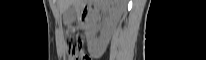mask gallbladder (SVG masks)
I'll return each mask as SVG.
<instances>
[{
	"label": "gallbladder",
	"mask_w": 206,
	"mask_h": 60,
	"mask_svg": "<svg viewBox=\"0 0 206 60\" xmlns=\"http://www.w3.org/2000/svg\"><path fill=\"white\" fill-rule=\"evenodd\" d=\"M77 17V11L75 9L74 4H72L68 9H66L63 13V20L65 24H72Z\"/></svg>",
	"instance_id": "obj_1"
}]
</instances>
